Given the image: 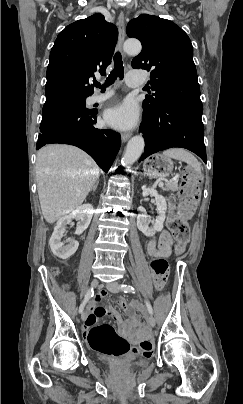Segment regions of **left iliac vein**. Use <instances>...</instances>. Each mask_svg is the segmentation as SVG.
I'll return each mask as SVG.
<instances>
[{
    "mask_svg": "<svg viewBox=\"0 0 243 404\" xmlns=\"http://www.w3.org/2000/svg\"><path fill=\"white\" fill-rule=\"evenodd\" d=\"M106 288L113 293L119 292V284L117 282H110L106 284ZM147 322L151 327L155 326V319L151 314L147 315Z\"/></svg>",
    "mask_w": 243,
    "mask_h": 404,
    "instance_id": "1",
    "label": "left iliac vein"
}]
</instances>
